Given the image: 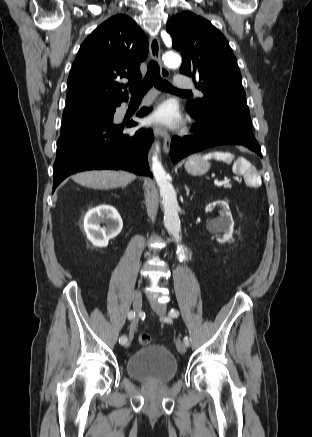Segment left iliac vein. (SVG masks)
Returning <instances> with one entry per match:
<instances>
[{
	"mask_svg": "<svg viewBox=\"0 0 312 437\" xmlns=\"http://www.w3.org/2000/svg\"><path fill=\"white\" fill-rule=\"evenodd\" d=\"M151 307L153 310L159 315L164 316L166 314V306L164 304L158 303L157 301H151L150 302ZM177 350L180 354H185L186 352V345L183 341L177 340L176 342Z\"/></svg>",
	"mask_w": 312,
	"mask_h": 437,
	"instance_id": "left-iliac-vein-1",
	"label": "left iliac vein"
}]
</instances>
